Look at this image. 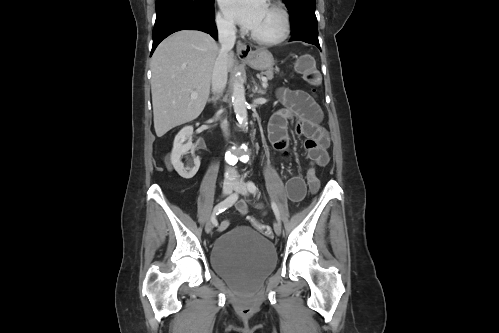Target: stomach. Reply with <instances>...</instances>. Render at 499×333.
Instances as JSON below:
<instances>
[{
  "label": "stomach",
  "instance_id": "0dacf381",
  "mask_svg": "<svg viewBox=\"0 0 499 333\" xmlns=\"http://www.w3.org/2000/svg\"><path fill=\"white\" fill-rule=\"evenodd\" d=\"M244 60L250 67L259 71L270 70L275 63L273 55L266 49H257Z\"/></svg>",
  "mask_w": 499,
  "mask_h": 333
}]
</instances>
